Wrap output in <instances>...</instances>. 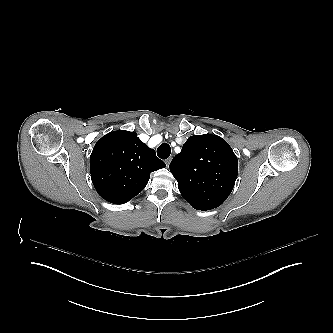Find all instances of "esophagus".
I'll return each instance as SVG.
<instances>
[{
    "label": "esophagus",
    "mask_w": 333,
    "mask_h": 333,
    "mask_svg": "<svg viewBox=\"0 0 333 333\" xmlns=\"http://www.w3.org/2000/svg\"><path fill=\"white\" fill-rule=\"evenodd\" d=\"M170 161H171L170 158L166 160V166H169Z\"/></svg>",
    "instance_id": "obj_1"
}]
</instances>
